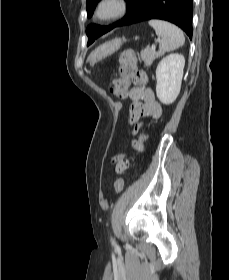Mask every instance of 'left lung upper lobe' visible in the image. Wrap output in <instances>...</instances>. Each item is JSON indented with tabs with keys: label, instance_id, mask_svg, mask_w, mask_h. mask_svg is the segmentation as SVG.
Wrapping results in <instances>:
<instances>
[{
	"label": "left lung upper lobe",
	"instance_id": "1",
	"mask_svg": "<svg viewBox=\"0 0 229 280\" xmlns=\"http://www.w3.org/2000/svg\"><path fill=\"white\" fill-rule=\"evenodd\" d=\"M100 0H86V9H87V15L88 17H91L94 11V8L96 6V4L99 2ZM130 2V6L128 7V10H130V8L132 7V5L134 4V2L136 0H127ZM117 24L115 25H111V26H99V25H94L91 24L87 27L86 29V34L88 36V44H91L96 38H98L99 36L103 35L104 33L110 31L112 28H114Z\"/></svg>",
	"mask_w": 229,
	"mask_h": 280
}]
</instances>
